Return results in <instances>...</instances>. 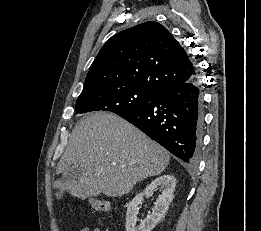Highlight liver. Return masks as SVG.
Instances as JSON below:
<instances>
[{
  "label": "liver",
  "instance_id": "1",
  "mask_svg": "<svg viewBox=\"0 0 261 231\" xmlns=\"http://www.w3.org/2000/svg\"><path fill=\"white\" fill-rule=\"evenodd\" d=\"M169 160L162 146L120 116L93 112L76 124L56 169L66 175L83 167L85 173L78 180L58 179L54 188L82 200L122 196L137 182L161 174Z\"/></svg>",
  "mask_w": 261,
  "mask_h": 231
}]
</instances>
